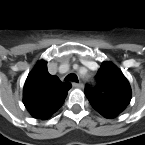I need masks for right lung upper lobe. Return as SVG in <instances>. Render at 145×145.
Masks as SVG:
<instances>
[{
    "label": "right lung upper lobe",
    "instance_id": "cb5924a9",
    "mask_svg": "<svg viewBox=\"0 0 145 145\" xmlns=\"http://www.w3.org/2000/svg\"><path fill=\"white\" fill-rule=\"evenodd\" d=\"M71 87L49 74L47 62L40 61L25 81L23 103L34 118L48 119L63 105Z\"/></svg>",
    "mask_w": 145,
    "mask_h": 145
}]
</instances>
